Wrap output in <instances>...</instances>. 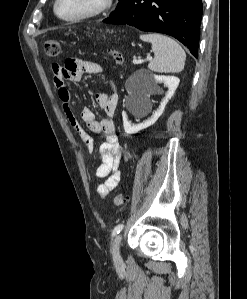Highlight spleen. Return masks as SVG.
<instances>
[{"label": "spleen", "instance_id": "spleen-1", "mask_svg": "<svg viewBox=\"0 0 247 299\" xmlns=\"http://www.w3.org/2000/svg\"><path fill=\"white\" fill-rule=\"evenodd\" d=\"M140 39L152 45L155 57L148 64L151 71L175 73L183 70L186 54L175 40L160 34H145Z\"/></svg>", "mask_w": 247, "mask_h": 299}]
</instances>
